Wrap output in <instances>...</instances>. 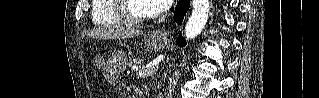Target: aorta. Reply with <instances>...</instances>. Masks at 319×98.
Listing matches in <instances>:
<instances>
[{"mask_svg":"<svg viewBox=\"0 0 319 98\" xmlns=\"http://www.w3.org/2000/svg\"><path fill=\"white\" fill-rule=\"evenodd\" d=\"M210 9L209 0H193V12L190 16L186 27H185V38L191 40L198 36L202 29L204 28ZM177 76V72H175ZM173 84L175 81L173 80ZM172 89L170 85L169 94L171 95Z\"/></svg>","mask_w":319,"mask_h":98,"instance_id":"1","label":"aorta"}]
</instances>
